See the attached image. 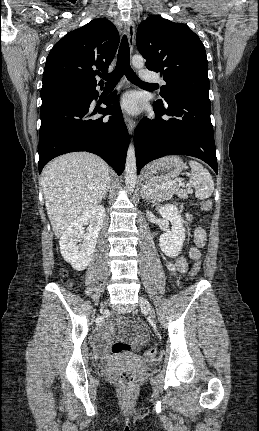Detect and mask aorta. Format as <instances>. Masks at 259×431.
I'll list each match as a JSON object with an SVG mask.
<instances>
[{"label": "aorta", "mask_w": 259, "mask_h": 431, "mask_svg": "<svg viewBox=\"0 0 259 431\" xmlns=\"http://www.w3.org/2000/svg\"><path fill=\"white\" fill-rule=\"evenodd\" d=\"M132 64L135 68L141 69L144 66V59L140 55L132 58ZM137 182V168L134 145H130L127 151L125 166V183L129 192L133 191Z\"/></svg>", "instance_id": "aorta-1"}]
</instances>
